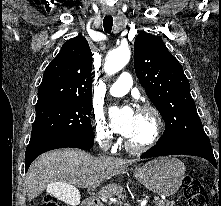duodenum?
Here are the masks:
<instances>
[{
	"label": "duodenum",
	"instance_id": "obj_1",
	"mask_svg": "<svg viewBox=\"0 0 221 206\" xmlns=\"http://www.w3.org/2000/svg\"><path fill=\"white\" fill-rule=\"evenodd\" d=\"M84 206H103V203L97 196H90L85 200Z\"/></svg>",
	"mask_w": 221,
	"mask_h": 206
}]
</instances>
